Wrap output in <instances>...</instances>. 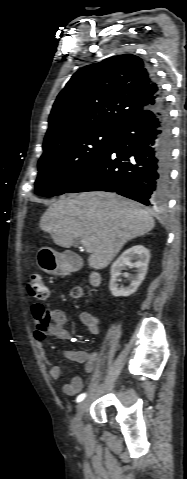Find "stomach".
<instances>
[{"mask_svg": "<svg viewBox=\"0 0 187 479\" xmlns=\"http://www.w3.org/2000/svg\"><path fill=\"white\" fill-rule=\"evenodd\" d=\"M37 264L44 272L64 276L69 267L64 256L49 247H42L37 253Z\"/></svg>", "mask_w": 187, "mask_h": 479, "instance_id": "stomach-1", "label": "stomach"}]
</instances>
